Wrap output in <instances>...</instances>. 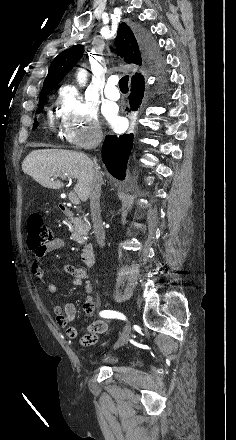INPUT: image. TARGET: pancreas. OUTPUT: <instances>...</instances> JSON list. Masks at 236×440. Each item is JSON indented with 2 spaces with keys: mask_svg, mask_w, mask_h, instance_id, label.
Segmentation results:
<instances>
[{
  "mask_svg": "<svg viewBox=\"0 0 236 440\" xmlns=\"http://www.w3.org/2000/svg\"><path fill=\"white\" fill-rule=\"evenodd\" d=\"M70 224V231L73 240L77 241L79 244H84L90 227L87 218L85 216L74 218L70 221Z\"/></svg>",
  "mask_w": 236,
  "mask_h": 440,
  "instance_id": "1",
  "label": "pancreas"
}]
</instances>
